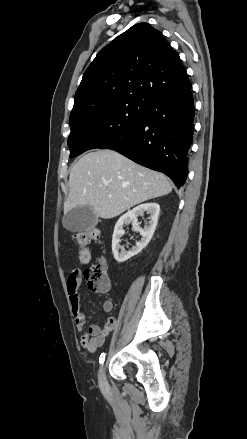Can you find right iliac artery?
I'll return each mask as SVG.
<instances>
[{
    "label": "right iliac artery",
    "instance_id": "obj_1",
    "mask_svg": "<svg viewBox=\"0 0 247 439\" xmlns=\"http://www.w3.org/2000/svg\"><path fill=\"white\" fill-rule=\"evenodd\" d=\"M104 360H105V353L103 352V353H101V355H100V357H99V363H100V364H103V363H104Z\"/></svg>",
    "mask_w": 247,
    "mask_h": 439
}]
</instances>
